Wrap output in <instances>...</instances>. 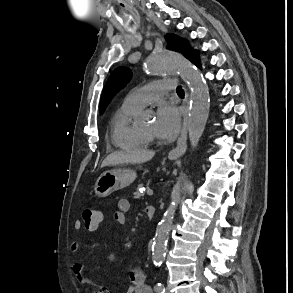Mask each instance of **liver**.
Returning <instances> with one entry per match:
<instances>
[{
    "mask_svg": "<svg viewBox=\"0 0 293 293\" xmlns=\"http://www.w3.org/2000/svg\"><path fill=\"white\" fill-rule=\"evenodd\" d=\"M155 152L153 151H137L133 153L114 152L108 155L103 161L101 167L115 166L119 164H140L145 163L153 158Z\"/></svg>",
    "mask_w": 293,
    "mask_h": 293,
    "instance_id": "liver-1",
    "label": "liver"
}]
</instances>
